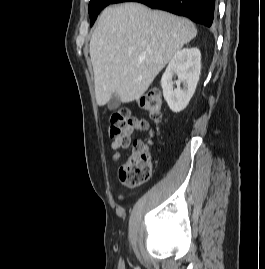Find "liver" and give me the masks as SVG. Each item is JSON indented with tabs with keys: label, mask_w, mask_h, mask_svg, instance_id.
<instances>
[{
	"label": "liver",
	"mask_w": 265,
	"mask_h": 269,
	"mask_svg": "<svg viewBox=\"0 0 265 269\" xmlns=\"http://www.w3.org/2000/svg\"><path fill=\"white\" fill-rule=\"evenodd\" d=\"M196 34L188 19L139 3L107 7L89 45L97 104L105 105L114 93L123 103L140 98Z\"/></svg>",
	"instance_id": "obj_1"
}]
</instances>
